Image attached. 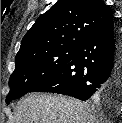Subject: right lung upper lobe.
<instances>
[{"label":"right lung upper lobe","instance_id":"cb5924a9","mask_svg":"<svg viewBox=\"0 0 122 123\" xmlns=\"http://www.w3.org/2000/svg\"><path fill=\"white\" fill-rule=\"evenodd\" d=\"M111 20L102 0H58L25 34L15 61L50 51L77 49L92 32Z\"/></svg>","mask_w":122,"mask_h":123}]
</instances>
